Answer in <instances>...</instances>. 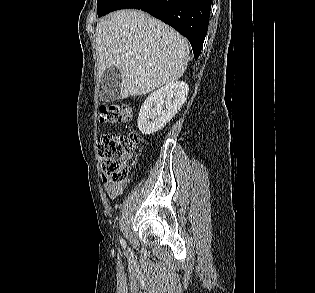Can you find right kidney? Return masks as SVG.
<instances>
[{"mask_svg": "<svg viewBox=\"0 0 315 293\" xmlns=\"http://www.w3.org/2000/svg\"><path fill=\"white\" fill-rule=\"evenodd\" d=\"M188 91L185 82L176 81L151 93L141 106L138 116L141 133L154 134L170 122L186 101Z\"/></svg>", "mask_w": 315, "mask_h": 293, "instance_id": "1", "label": "right kidney"}]
</instances>
